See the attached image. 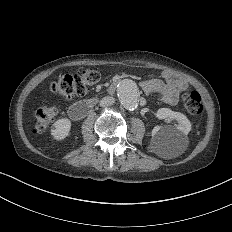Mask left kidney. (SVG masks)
Returning <instances> with one entry per match:
<instances>
[{
	"mask_svg": "<svg viewBox=\"0 0 232 232\" xmlns=\"http://www.w3.org/2000/svg\"><path fill=\"white\" fill-rule=\"evenodd\" d=\"M155 116L159 120H177L178 125L165 127L155 125L152 130L150 147L163 150L166 153L184 150L188 145L187 134L191 130V123L186 116L182 113L174 112L170 108L158 109Z\"/></svg>",
	"mask_w": 232,
	"mask_h": 232,
	"instance_id": "left-kidney-1",
	"label": "left kidney"
}]
</instances>
